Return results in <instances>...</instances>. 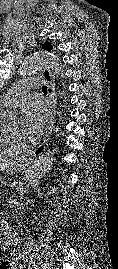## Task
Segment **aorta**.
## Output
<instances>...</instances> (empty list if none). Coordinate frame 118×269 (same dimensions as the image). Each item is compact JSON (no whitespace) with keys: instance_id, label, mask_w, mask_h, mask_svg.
Instances as JSON below:
<instances>
[{"instance_id":"762f6f07","label":"aorta","mask_w":118,"mask_h":269,"mask_svg":"<svg viewBox=\"0 0 118 269\" xmlns=\"http://www.w3.org/2000/svg\"><path fill=\"white\" fill-rule=\"evenodd\" d=\"M45 67H51L62 73V68L59 64V59L49 52H36L24 60L22 64V74H33ZM21 122V113L17 110H6L1 113V125L7 130H13L18 127ZM55 161L54 154L47 152L45 155L37 159L27 172L30 180L39 179L47 174Z\"/></svg>"}]
</instances>
